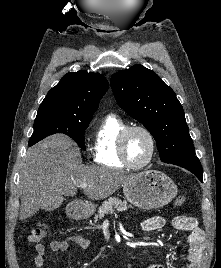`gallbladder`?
<instances>
[{
  "label": "gallbladder",
  "instance_id": "gallbladder-1",
  "mask_svg": "<svg viewBox=\"0 0 221 268\" xmlns=\"http://www.w3.org/2000/svg\"><path fill=\"white\" fill-rule=\"evenodd\" d=\"M63 199H43L42 205L38 206L39 210L54 211L63 204Z\"/></svg>",
  "mask_w": 221,
  "mask_h": 268
}]
</instances>
